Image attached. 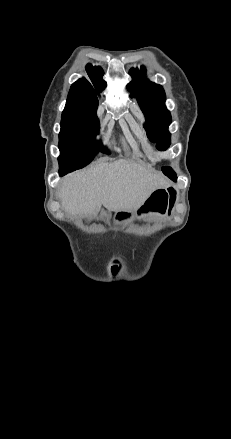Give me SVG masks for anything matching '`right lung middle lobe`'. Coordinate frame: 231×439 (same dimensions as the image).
Listing matches in <instances>:
<instances>
[{"mask_svg": "<svg viewBox=\"0 0 231 439\" xmlns=\"http://www.w3.org/2000/svg\"><path fill=\"white\" fill-rule=\"evenodd\" d=\"M99 133L96 111L63 112L59 134L60 169H80L91 162L97 151L108 153L95 137Z\"/></svg>", "mask_w": 231, "mask_h": 439, "instance_id": "dd1d6c3e", "label": "right lung middle lobe"}]
</instances>
